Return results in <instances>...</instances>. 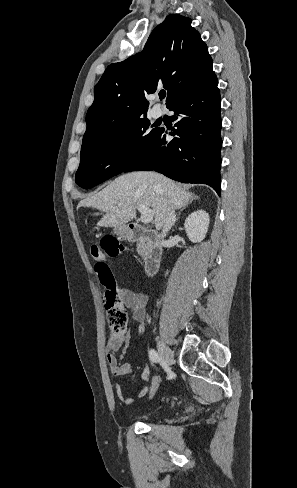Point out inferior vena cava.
I'll use <instances>...</instances> for the list:
<instances>
[{
    "label": "inferior vena cava",
    "mask_w": 297,
    "mask_h": 488,
    "mask_svg": "<svg viewBox=\"0 0 297 488\" xmlns=\"http://www.w3.org/2000/svg\"><path fill=\"white\" fill-rule=\"evenodd\" d=\"M176 221V214H175V210L172 206H169L168 209H167V215H166V218H165V222H164V225H163V230H162V239H164V237L166 236V234L169 232V230L172 228V226L174 225Z\"/></svg>",
    "instance_id": "inferior-vena-cava-1"
}]
</instances>
